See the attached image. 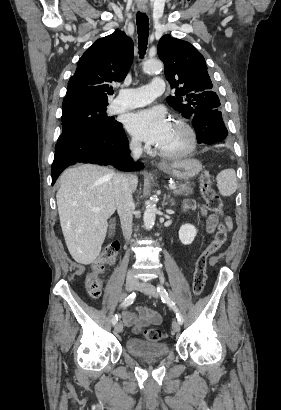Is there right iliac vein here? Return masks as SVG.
I'll list each match as a JSON object with an SVG mask.
<instances>
[{
	"instance_id": "1",
	"label": "right iliac vein",
	"mask_w": 281,
	"mask_h": 410,
	"mask_svg": "<svg viewBox=\"0 0 281 410\" xmlns=\"http://www.w3.org/2000/svg\"><path fill=\"white\" fill-rule=\"evenodd\" d=\"M125 287H126V290H127L128 292H131V291H133V290L137 287V283L134 282V281L129 280V281L126 282ZM114 330H115L116 333H121L122 330H123V325H122V323H121V322H117V323L115 324Z\"/></svg>"
}]
</instances>
